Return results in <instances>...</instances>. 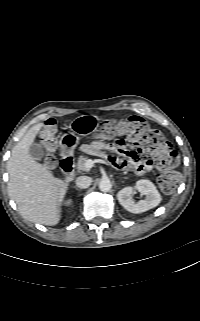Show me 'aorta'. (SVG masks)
<instances>
[{"label": "aorta", "instance_id": "1", "mask_svg": "<svg viewBox=\"0 0 200 321\" xmlns=\"http://www.w3.org/2000/svg\"><path fill=\"white\" fill-rule=\"evenodd\" d=\"M112 188V183L111 181L108 179V178H104L100 181L99 183V189L102 191V192H108L110 191Z\"/></svg>", "mask_w": 200, "mask_h": 321}]
</instances>
